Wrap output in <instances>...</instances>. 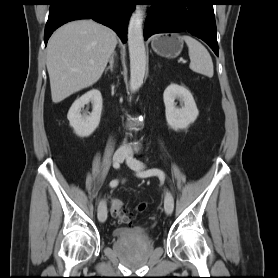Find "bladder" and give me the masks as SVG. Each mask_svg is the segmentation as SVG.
<instances>
[{"label":"bladder","mask_w":278,"mask_h":278,"mask_svg":"<svg viewBox=\"0 0 278 278\" xmlns=\"http://www.w3.org/2000/svg\"><path fill=\"white\" fill-rule=\"evenodd\" d=\"M113 236L123 241L147 240L149 232L142 228L119 227L113 230Z\"/></svg>","instance_id":"bladder-1"}]
</instances>
